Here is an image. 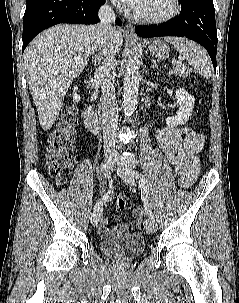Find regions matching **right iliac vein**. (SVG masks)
I'll return each mask as SVG.
<instances>
[{"label":"right iliac vein","instance_id":"right-iliac-vein-1","mask_svg":"<svg viewBox=\"0 0 239 303\" xmlns=\"http://www.w3.org/2000/svg\"><path fill=\"white\" fill-rule=\"evenodd\" d=\"M105 163H106L107 169L111 171L113 169L114 164H115L114 157L107 155L105 157ZM102 215H103V213H102L101 209H99L97 211H94L92 216H91L92 225L97 226L101 217H102Z\"/></svg>","mask_w":239,"mask_h":303}]
</instances>
